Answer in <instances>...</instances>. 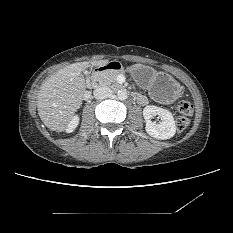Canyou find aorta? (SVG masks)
<instances>
[{
	"instance_id": "762f6f07",
	"label": "aorta",
	"mask_w": 233,
	"mask_h": 233,
	"mask_svg": "<svg viewBox=\"0 0 233 233\" xmlns=\"http://www.w3.org/2000/svg\"><path fill=\"white\" fill-rule=\"evenodd\" d=\"M117 97L119 100H126L128 97L127 91L126 90H119L117 93Z\"/></svg>"
}]
</instances>
